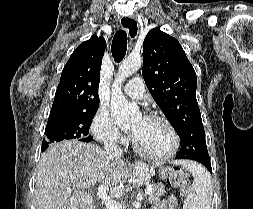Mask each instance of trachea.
<instances>
[{
	"instance_id": "1",
	"label": "trachea",
	"mask_w": 253,
	"mask_h": 209,
	"mask_svg": "<svg viewBox=\"0 0 253 209\" xmlns=\"http://www.w3.org/2000/svg\"><path fill=\"white\" fill-rule=\"evenodd\" d=\"M127 27L131 33L133 31L132 26L127 25ZM111 48L115 62L119 63L124 58L127 50V34L125 31L119 30L115 33Z\"/></svg>"
}]
</instances>
